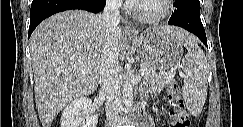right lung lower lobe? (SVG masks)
<instances>
[{
  "label": "right lung lower lobe",
  "instance_id": "98d812e1",
  "mask_svg": "<svg viewBox=\"0 0 243 127\" xmlns=\"http://www.w3.org/2000/svg\"><path fill=\"white\" fill-rule=\"evenodd\" d=\"M104 5L105 0H33L28 37L44 19L55 13L71 9L97 13L104 8Z\"/></svg>",
  "mask_w": 243,
  "mask_h": 127
}]
</instances>
